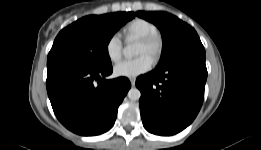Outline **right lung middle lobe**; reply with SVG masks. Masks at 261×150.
I'll list each match as a JSON object with an SVG mask.
<instances>
[{
	"label": "right lung middle lobe",
	"instance_id": "right-lung-middle-lobe-1",
	"mask_svg": "<svg viewBox=\"0 0 261 150\" xmlns=\"http://www.w3.org/2000/svg\"><path fill=\"white\" fill-rule=\"evenodd\" d=\"M133 12H117L83 17L64 28L48 54L47 68L72 65L87 69L111 66L108 44L112 36Z\"/></svg>",
	"mask_w": 261,
	"mask_h": 150
}]
</instances>
